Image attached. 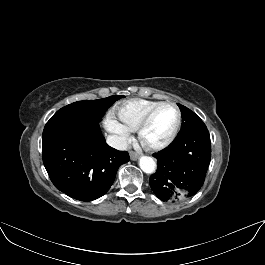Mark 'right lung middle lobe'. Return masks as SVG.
I'll list each match as a JSON object with an SVG mask.
<instances>
[{
  "mask_svg": "<svg viewBox=\"0 0 265 265\" xmlns=\"http://www.w3.org/2000/svg\"><path fill=\"white\" fill-rule=\"evenodd\" d=\"M121 97L123 95H114L98 100L77 101L59 109L53 116L86 117L99 122L107 108Z\"/></svg>",
  "mask_w": 265,
  "mask_h": 265,
  "instance_id": "obj_1",
  "label": "right lung middle lobe"
}]
</instances>
